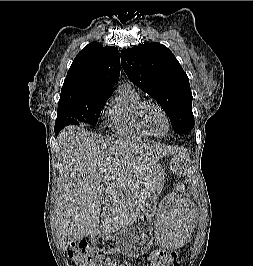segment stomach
Here are the masks:
<instances>
[{
    "label": "stomach",
    "mask_w": 253,
    "mask_h": 266,
    "mask_svg": "<svg viewBox=\"0 0 253 266\" xmlns=\"http://www.w3.org/2000/svg\"><path fill=\"white\" fill-rule=\"evenodd\" d=\"M157 178L154 175V180ZM153 199H151V203ZM139 213L134 222L121 229L115 235H100L94 238V243L100 251L117 252L127 258H137L149 251L153 244V213L152 204ZM167 248V246H162Z\"/></svg>",
    "instance_id": "stomach-1"
}]
</instances>
